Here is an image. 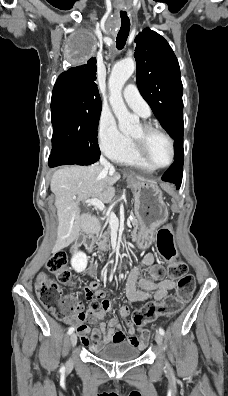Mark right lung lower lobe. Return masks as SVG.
I'll list each match as a JSON object with an SVG mask.
<instances>
[{
    "label": "right lung lower lobe",
    "mask_w": 228,
    "mask_h": 396,
    "mask_svg": "<svg viewBox=\"0 0 228 396\" xmlns=\"http://www.w3.org/2000/svg\"><path fill=\"white\" fill-rule=\"evenodd\" d=\"M72 164L62 158L50 156L49 157V167H56L60 165Z\"/></svg>",
    "instance_id": "obj_1"
}]
</instances>
